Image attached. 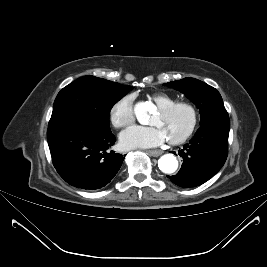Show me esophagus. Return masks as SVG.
<instances>
[{"label":"esophagus","instance_id":"esophagus-1","mask_svg":"<svg viewBox=\"0 0 267 267\" xmlns=\"http://www.w3.org/2000/svg\"><path fill=\"white\" fill-rule=\"evenodd\" d=\"M162 153H163L162 150H149V151H148V154H150L151 156H154V157H158V156H160Z\"/></svg>","mask_w":267,"mask_h":267}]
</instances>
